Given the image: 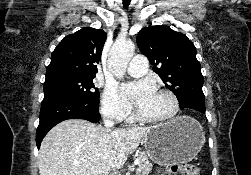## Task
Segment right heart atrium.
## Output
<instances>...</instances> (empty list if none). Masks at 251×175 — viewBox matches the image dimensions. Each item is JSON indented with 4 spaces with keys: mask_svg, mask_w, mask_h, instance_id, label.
I'll use <instances>...</instances> for the list:
<instances>
[{
    "mask_svg": "<svg viewBox=\"0 0 251 175\" xmlns=\"http://www.w3.org/2000/svg\"><path fill=\"white\" fill-rule=\"evenodd\" d=\"M100 110L104 117L114 122L130 121L135 116L131 107L120 98L114 86H108L103 90Z\"/></svg>",
    "mask_w": 251,
    "mask_h": 175,
    "instance_id": "obj_1",
    "label": "right heart atrium"
}]
</instances>
